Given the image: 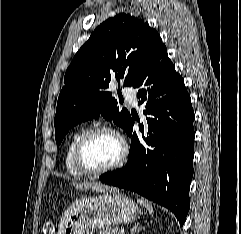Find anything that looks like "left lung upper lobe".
Segmentation results:
<instances>
[{"label": "left lung upper lobe", "instance_id": "obj_1", "mask_svg": "<svg viewBox=\"0 0 241 234\" xmlns=\"http://www.w3.org/2000/svg\"><path fill=\"white\" fill-rule=\"evenodd\" d=\"M165 47L157 31L131 15L119 14L100 24L65 73L54 118L57 146L76 124L100 115L125 130L130 113L119 110L105 89L114 78L133 86Z\"/></svg>", "mask_w": 241, "mask_h": 234}]
</instances>
